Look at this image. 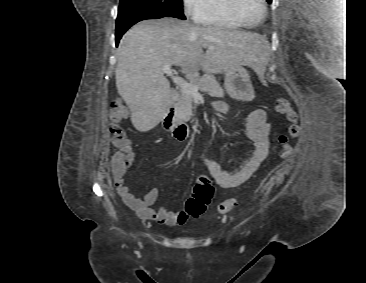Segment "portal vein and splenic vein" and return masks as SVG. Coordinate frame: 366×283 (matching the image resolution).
<instances>
[{
	"label": "portal vein and splenic vein",
	"instance_id": "portal-vein-and-splenic-vein-1",
	"mask_svg": "<svg viewBox=\"0 0 366 283\" xmlns=\"http://www.w3.org/2000/svg\"><path fill=\"white\" fill-rule=\"evenodd\" d=\"M171 64H166L162 67V71L171 77V79L173 80V82L178 85L181 88V91L184 93H188L191 94L193 96H198L199 94V87L192 83V82H188L187 80H185L184 78L178 76V75H174V71L171 67Z\"/></svg>",
	"mask_w": 366,
	"mask_h": 283
}]
</instances>
